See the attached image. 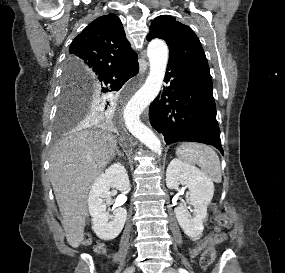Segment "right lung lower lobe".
<instances>
[{
	"mask_svg": "<svg viewBox=\"0 0 285 273\" xmlns=\"http://www.w3.org/2000/svg\"><path fill=\"white\" fill-rule=\"evenodd\" d=\"M139 71V64L137 59L127 63L125 65L119 66L117 68H113L107 70L99 75L92 81H90V85L94 89H99L101 92H117L119 91L125 83L135 75H137ZM105 105L102 108V114L100 119H107L111 117L113 104Z\"/></svg>",
	"mask_w": 285,
	"mask_h": 273,
	"instance_id": "1",
	"label": "right lung lower lobe"
}]
</instances>
